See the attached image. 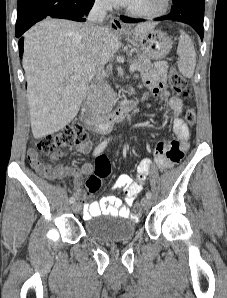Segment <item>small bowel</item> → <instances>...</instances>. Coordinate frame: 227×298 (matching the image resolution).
<instances>
[{
	"mask_svg": "<svg viewBox=\"0 0 227 298\" xmlns=\"http://www.w3.org/2000/svg\"><path fill=\"white\" fill-rule=\"evenodd\" d=\"M166 72V62L160 61L155 63L153 70L145 79V85L148 89L147 95L161 98L166 102L168 108L175 114V117L172 120V129L176 139L170 142L158 141L156 144L154 162L160 169L180 167L181 159H183L184 154L189 148L190 137L189 127L181 117L183 112L181 99L177 96H173L165 89ZM91 147V142L85 141L77 145L76 150L81 154H87L90 152ZM27 156L34 170L46 178L55 179L63 176L72 177L74 183L73 195L79 201H85L88 198V194L81 189L82 175L90 174L93 171L92 165L84 164L80 169L61 164L56 166L47 165L40 160L35 149H29ZM61 156L62 152L54 153L52 158L58 160ZM151 165L152 161L150 159H143L138 165L135 178H132L127 174H122L113 184L111 191L122 190L127 205L123 204L122 200L113 194L103 196L99 200L84 205V219L88 220L100 215L121 216L124 218L135 219L136 217L131 213L129 207L133 205L135 198L141 192L146 177L150 172Z\"/></svg>",
	"mask_w": 227,
	"mask_h": 298,
	"instance_id": "1",
	"label": "small bowel"
}]
</instances>
